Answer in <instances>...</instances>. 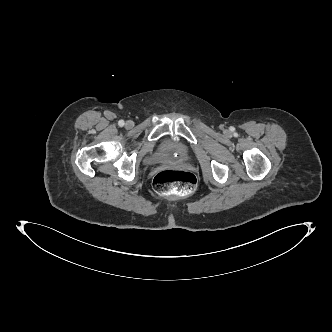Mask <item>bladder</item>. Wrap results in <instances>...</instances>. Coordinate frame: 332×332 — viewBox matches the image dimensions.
<instances>
[{
    "instance_id": "1",
    "label": "bladder",
    "mask_w": 332,
    "mask_h": 332,
    "mask_svg": "<svg viewBox=\"0 0 332 332\" xmlns=\"http://www.w3.org/2000/svg\"><path fill=\"white\" fill-rule=\"evenodd\" d=\"M189 157L190 149L186 143L181 141H169L149 157L148 161L151 163L186 161Z\"/></svg>"
}]
</instances>
